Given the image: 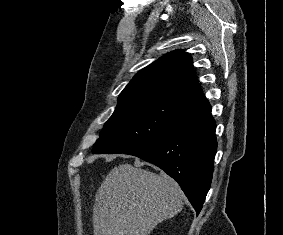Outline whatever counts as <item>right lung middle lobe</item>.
Returning a JSON list of instances; mask_svg holds the SVG:
<instances>
[{
    "label": "right lung middle lobe",
    "mask_w": 283,
    "mask_h": 235,
    "mask_svg": "<svg viewBox=\"0 0 283 235\" xmlns=\"http://www.w3.org/2000/svg\"><path fill=\"white\" fill-rule=\"evenodd\" d=\"M188 104L166 100L119 102L94 144L95 154H118L157 138L186 112Z\"/></svg>",
    "instance_id": "1"
}]
</instances>
